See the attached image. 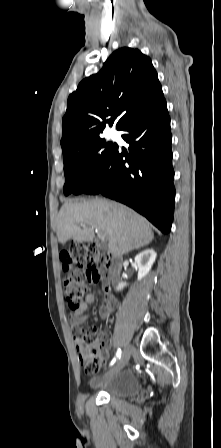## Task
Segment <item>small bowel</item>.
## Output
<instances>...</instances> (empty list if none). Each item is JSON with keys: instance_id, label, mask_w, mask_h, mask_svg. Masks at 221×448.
Returning <instances> with one entry per match:
<instances>
[{"instance_id": "small-bowel-1", "label": "small bowel", "mask_w": 221, "mask_h": 448, "mask_svg": "<svg viewBox=\"0 0 221 448\" xmlns=\"http://www.w3.org/2000/svg\"><path fill=\"white\" fill-rule=\"evenodd\" d=\"M104 292L106 295V302L100 305L98 313L101 318H109L112 316L113 311L118 307L119 303L116 298L108 294L106 288H104ZM94 300L95 296L93 294H87L80 307L71 312V326L75 331L80 332L82 324L87 319L85 312ZM77 352L81 359L85 357L87 350L83 345H77Z\"/></svg>"}]
</instances>
